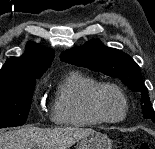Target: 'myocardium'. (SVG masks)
I'll use <instances>...</instances> for the list:
<instances>
[{"label":"myocardium","instance_id":"obj_1","mask_svg":"<svg viewBox=\"0 0 155 149\" xmlns=\"http://www.w3.org/2000/svg\"><path fill=\"white\" fill-rule=\"evenodd\" d=\"M104 89L114 90L121 97L123 104H124V110H123V114L121 117L116 118V119L108 118L107 116H105V114L100 109L98 97H99L100 92ZM89 106L93 114L99 120H101L104 123H110V124H115V123H119L123 121L127 117L128 112H129V101H128V98L125 92L122 90L121 87H119L118 85L114 83H110V82H101L92 88V90L89 93Z\"/></svg>","mask_w":155,"mask_h":149}]
</instances>
